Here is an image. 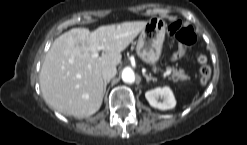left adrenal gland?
<instances>
[{
  "instance_id": "left-adrenal-gland-1",
  "label": "left adrenal gland",
  "mask_w": 247,
  "mask_h": 145,
  "mask_svg": "<svg viewBox=\"0 0 247 145\" xmlns=\"http://www.w3.org/2000/svg\"><path fill=\"white\" fill-rule=\"evenodd\" d=\"M143 76L146 78V81L149 82V81H156L155 78L151 77L150 75H147L146 73H143Z\"/></svg>"
}]
</instances>
